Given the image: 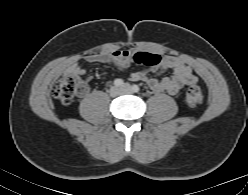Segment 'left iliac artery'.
Segmentation results:
<instances>
[{"label":"left iliac artery","mask_w":248,"mask_h":195,"mask_svg":"<svg viewBox=\"0 0 248 195\" xmlns=\"http://www.w3.org/2000/svg\"><path fill=\"white\" fill-rule=\"evenodd\" d=\"M139 90H140V88H139L138 85L134 84V85L132 86V91H133L134 93H138Z\"/></svg>","instance_id":"left-iliac-artery-1"}]
</instances>
